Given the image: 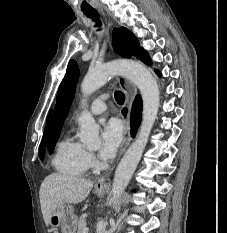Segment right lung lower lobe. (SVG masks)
<instances>
[{"label": "right lung lower lobe", "instance_id": "right-lung-lower-lobe-1", "mask_svg": "<svg viewBox=\"0 0 227 233\" xmlns=\"http://www.w3.org/2000/svg\"><path fill=\"white\" fill-rule=\"evenodd\" d=\"M140 122L137 118V107H136V99L133 103L132 111H131V134L134 136L138 129Z\"/></svg>", "mask_w": 227, "mask_h": 233}]
</instances>
